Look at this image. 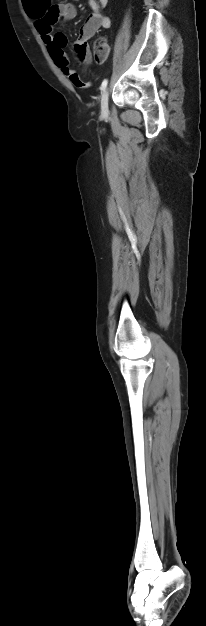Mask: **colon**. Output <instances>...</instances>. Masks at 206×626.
<instances>
[{
	"label": "colon",
	"mask_w": 206,
	"mask_h": 626,
	"mask_svg": "<svg viewBox=\"0 0 206 626\" xmlns=\"http://www.w3.org/2000/svg\"><path fill=\"white\" fill-rule=\"evenodd\" d=\"M109 52L110 47L105 39L100 38L95 42L93 56L97 62H104L108 58Z\"/></svg>",
	"instance_id": "colon-1"
}]
</instances>
